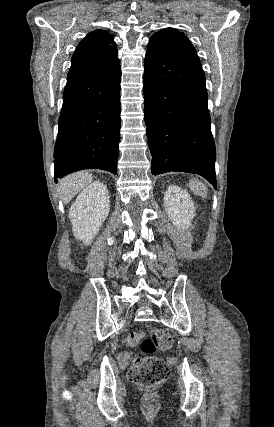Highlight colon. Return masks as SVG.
Masks as SVG:
<instances>
[{
  "mask_svg": "<svg viewBox=\"0 0 274 427\" xmlns=\"http://www.w3.org/2000/svg\"><path fill=\"white\" fill-rule=\"evenodd\" d=\"M127 346L140 344L141 351L146 355L135 360L129 370L132 383L141 388L151 387L165 382L171 375V368L166 361L154 356L159 350L170 349L173 345L172 336L160 328H154L150 336L133 331L125 336Z\"/></svg>",
  "mask_w": 274,
  "mask_h": 427,
  "instance_id": "1",
  "label": "colon"
}]
</instances>
